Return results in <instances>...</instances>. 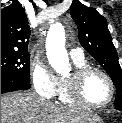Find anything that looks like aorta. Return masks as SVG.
I'll return each mask as SVG.
<instances>
[{
	"label": "aorta",
	"mask_w": 122,
	"mask_h": 123,
	"mask_svg": "<svg viewBox=\"0 0 122 123\" xmlns=\"http://www.w3.org/2000/svg\"><path fill=\"white\" fill-rule=\"evenodd\" d=\"M46 51L52 68L60 74L70 69L68 54L65 49V32L61 24L53 25L46 39Z\"/></svg>",
	"instance_id": "1"
}]
</instances>
